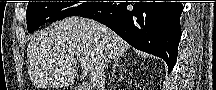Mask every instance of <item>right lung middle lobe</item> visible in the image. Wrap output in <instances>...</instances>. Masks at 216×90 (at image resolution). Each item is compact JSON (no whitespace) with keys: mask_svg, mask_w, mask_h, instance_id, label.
Listing matches in <instances>:
<instances>
[{"mask_svg":"<svg viewBox=\"0 0 216 90\" xmlns=\"http://www.w3.org/2000/svg\"><path fill=\"white\" fill-rule=\"evenodd\" d=\"M74 4L76 2H29L26 10L28 32H33L47 22L62 20L69 16H80L103 3L85 2L73 6Z\"/></svg>","mask_w":216,"mask_h":90,"instance_id":"dd1d6c3e","label":"right lung middle lobe"}]
</instances>
